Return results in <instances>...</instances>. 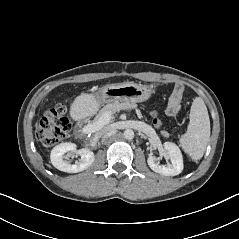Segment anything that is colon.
<instances>
[{
	"label": "colon",
	"instance_id": "5ec220e1",
	"mask_svg": "<svg viewBox=\"0 0 239 239\" xmlns=\"http://www.w3.org/2000/svg\"><path fill=\"white\" fill-rule=\"evenodd\" d=\"M151 122L156 128L164 126L165 121L159 109L154 108L150 112ZM71 130V122L67 117V109L63 104L51 108L42 118L36 128V138L46 146L56 144Z\"/></svg>",
	"mask_w": 239,
	"mask_h": 239
}]
</instances>
